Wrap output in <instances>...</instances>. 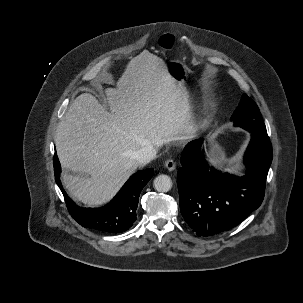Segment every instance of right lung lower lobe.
<instances>
[{
  "instance_id": "obj_1",
  "label": "right lung lower lobe",
  "mask_w": 303,
  "mask_h": 303,
  "mask_svg": "<svg viewBox=\"0 0 303 303\" xmlns=\"http://www.w3.org/2000/svg\"><path fill=\"white\" fill-rule=\"evenodd\" d=\"M60 172V162L55 153V181L64 195L69 213L81 226L107 233H121L133 225L140 192L153 176V169L138 171L129 178L109 204L102 208H82L66 195L60 181Z\"/></svg>"
}]
</instances>
